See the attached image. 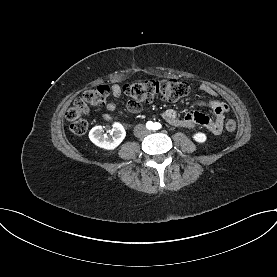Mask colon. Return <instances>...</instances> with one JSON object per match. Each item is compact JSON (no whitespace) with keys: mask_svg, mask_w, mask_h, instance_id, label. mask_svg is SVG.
Instances as JSON below:
<instances>
[{"mask_svg":"<svg viewBox=\"0 0 277 277\" xmlns=\"http://www.w3.org/2000/svg\"><path fill=\"white\" fill-rule=\"evenodd\" d=\"M189 85L179 80H144L127 84L123 92L134 102H150L155 99L163 101H176L189 93ZM109 95V87L100 85L91 88L74 101L72 107L66 113L67 119L71 122L70 129L74 134L82 135L88 130V122L82 118L91 107H101L105 104ZM225 127L228 131L236 128L232 118H227Z\"/></svg>","mask_w":277,"mask_h":277,"instance_id":"5ec220e1","label":"colon"}]
</instances>
